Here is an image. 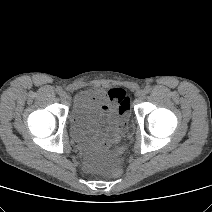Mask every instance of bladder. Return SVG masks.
<instances>
[{"label": "bladder", "instance_id": "1", "mask_svg": "<svg viewBox=\"0 0 212 212\" xmlns=\"http://www.w3.org/2000/svg\"><path fill=\"white\" fill-rule=\"evenodd\" d=\"M102 91L96 88L85 89L78 92L74 98L70 113V123L78 137L84 142L94 141V136L87 127L88 116L94 107Z\"/></svg>", "mask_w": 212, "mask_h": 212}]
</instances>
